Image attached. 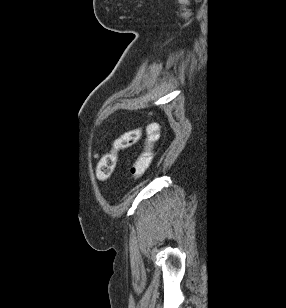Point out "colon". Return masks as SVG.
<instances>
[{"label": "colon", "instance_id": "1", "mask_svg": "<svg viewBox=\"0 0 286 308\" xmlns=\"http://www.w3.org/2000/svg\"><path fill=\"white\" fill-rule=\"evenodd\" d=\"M142 128H135L121 134L113 143L109 152H107L99 161L97 166V178L100 181H106L112 175L119 157V152L129 148L140 141ZM153 139L145 140V145L135 158L131 169L130 179L136 181L140 179L147 171L152 161Z\"/></svg>", "mask_w": 286, "mask_h": 308}]
</instances>
